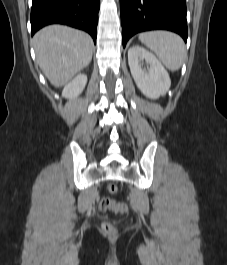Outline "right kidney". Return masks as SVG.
<instances>
[{
	"instance_id": "ca27d5eb",
	"label": "right kidney",
	"mask_w": 227,
	"mask_h": 265,
	"mask_svg": "<svg viewBox=\"0 0 227 265\" xmlns=\"http://www.w3.org/2000/svg\"><path fill=\"white\" fill-rule=\"evenodd\" d=\"M87 83V76L85 74L77 75L72 81L65 85L62 96L67 99L76 98L84 90Z\"/></svg>"
}]
</instances>
